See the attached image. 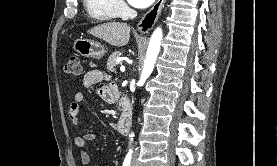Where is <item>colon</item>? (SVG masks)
<instances>
[{
    "label": "colon",
    "mask_w": 277,
    "mask_h": 166,
    "mask_svg": "<svg viewBox=\"0 0 277 166\" xmlns=\"http://www.w3.org/2000/svg\"><path fill=\"white\" fill-rule=\"evenodd\" d=\"M64 70L68 74L80 75L82 73L81 60L78 55H72L64 66Z\"/></svg>",
    "instance_id": "1"
}]
</instances>
